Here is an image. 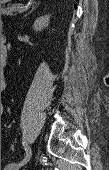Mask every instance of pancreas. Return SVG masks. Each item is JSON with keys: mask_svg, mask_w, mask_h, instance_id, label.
I'll return each mask as SVG.
<instances>
[{"mask_svg": "<svg viewBox=\"0 0 109 170\" xmlns=\"http://www.w3.org/2000/svg\"><path fill=\"white\" fill-rule=\"evenodd\" d=\"M20 6L18 5H11L8 6L7 8H2L1 9V15L3 16H14L17 11H19Z\"/></svg>", "mask_w": 109, "mask_h": 170, "instance_id": "1", "label": "pancreas"}]
</instances>
